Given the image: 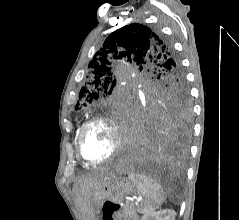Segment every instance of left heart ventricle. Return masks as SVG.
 Masks as SVG:
<instances>
[{
	"instance_id": "left-heart-ventricle-1",
	"label": "left heart ventricle",
	"mask_w": 239,
	"mask_h": 220,
	"mask_svg": "<svg viewBox=\"0 0 239 220\" xmlns=\"http://www.w3.org/2000/svg\"><path fill=\"white\" fill-rule=\"evenodd\" d=\"M115 142V134L109 125L96 124L84 137L83 152L90 160H102L112 153Z\"/></svg>"
}]
</instances>
